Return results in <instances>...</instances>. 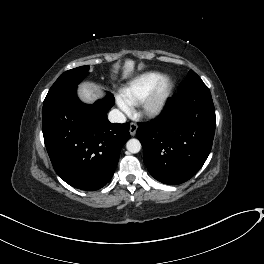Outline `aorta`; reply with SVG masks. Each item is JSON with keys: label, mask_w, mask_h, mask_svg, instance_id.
<instances>
[{"label": "aorta", "mask_w": 264, "mask_h": 264, "mask_svg": "<svg viewBox=\"0 0 264 264\" xmlns=\"http://www.w3.org/2000/svg\"><path fill=\"white\" fill-rule=\"evenodd\" d=\"M126 148L130 153H138L141 150V143L138 139H130L126 143Z\"/></svg>", "instance_id": "obj_1"}]
</instances>
